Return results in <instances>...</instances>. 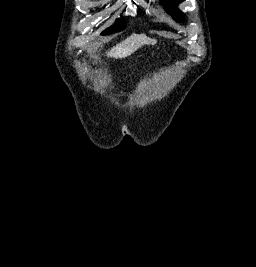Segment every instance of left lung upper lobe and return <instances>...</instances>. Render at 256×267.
I'll return each instance as SVG.
<instances>
[{
	"mask_svg": "<svg viewBox=\"0 0 256 267\" xmlns=\"http://www.w3.org/2000/svg\"><path fill=\"white\" fill-rule=\"evenodd\" d=\"M167 12L173 15V17L177 20H181L183 18L182 12H180L176 5L179 4L183 0H162Z\"/></svg>",
	"mask_w": 256,
	"mask_h": 267,
	"instance_id": "5c2ea615",
	"label": "left lung upper lobe"
}]
</instances>
